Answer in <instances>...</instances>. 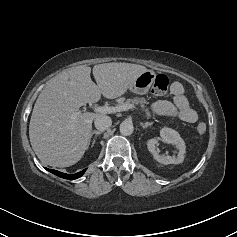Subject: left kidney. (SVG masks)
<instances>
[{"label": "left kidney", "instance_id": "obj_1", "mask_svg": "<svg viewBox=\"0 0 237 237\" xmlns=\"http://www.w3.org/2000/svg\"><path fill=\"white\" fill-rule=\"evenodd\" d=\"M160 136L163 142L175 145L179 150V153L176 156L160 155L156 150V144L158 141L156 139H150L147 142V148L152 153L154 159L165 165L182 163L185 157L186 146L179 133L171 128L164 127L160 130Z\"/></svg>", "mask_w": 237, "mask_h": 237}]
</instances>
